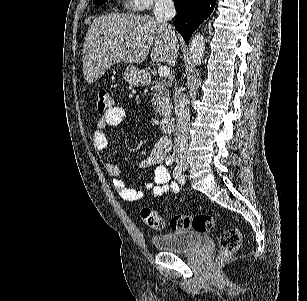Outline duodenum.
<instances>
[{
  "instance_id": "obj_1",
  "label": "duodenum",
  "mask_w": 307,
  "mask_h": 301,
  "mask_svg": "<svg viewBox=\"0 0 307 301\" xmlns=\"http://www.w3.org/2000/svg\"><path fill=\"white\" fill-rule=\"evenodd\" d=\"M160 129L165 133H171L176 126V119L172 113H165L159 121Z\"/></svg>"
}]
</instances>
